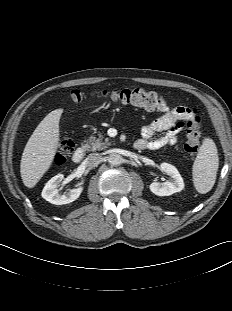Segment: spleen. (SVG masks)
Masks as SVG:
<instances>
[{
    "mask_svg": "<svg viewBox=\"0 0 232 311\" xmlns=\"http://www.w3.org/2000/svg\"><path fill=\"white\" fill-rule=\"evenodd\" d=\"M218 167L219 157L216 144L212 139L205 138L192 170L193 183L199 193L205 194L213 188Z\"/></svg>",
    "mask_w": 232,
    "mask_h": 311,
    "instance_id": "1",
    "label": "spleen"
}]
</instances>
